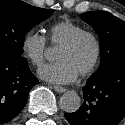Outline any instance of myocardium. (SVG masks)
Segmentation results:
<instances>
[{
    "label": "myocardium",
    "mask_w": 125,
    "mask_h": 125,
    "mask_svg": "<svg viewBox=\"0 0 125 125\" xmlns=\"http://www.w3.org/2000/svg\"><path fill=\"white\" fill-rule=\"evenodd\" d=\"M90 37L92 41L94 42L95 46V53L94 57L91 61V63L79 74L82 77H85L87 75H90L97 67L100 56H101V43L98 38V36L89 30H83L75 35H73L70 39H68L66 42L61 44L59 47L64 49H69L75 46L83 37Z\"/></svg>",
    "instance_id": "1"
}]
</instances>
